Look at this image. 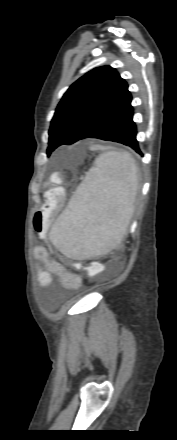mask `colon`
Returning <instances> with one entry per match:
<instances>
[{
    "label": "colon",
    "instance_id": "obj_1",
    "mask_svg": "<svg viewBox=\"0 0 177 440\" xmlns=\"http://www.w3.org/2000/svg\"><path fill=\"white\" fill-rule=\"evenodd\" d=\"M61 175L59 172H54L51 176V182L56 186L50 188L44 196V204L40 210L35 213L34 216V227L37 231L42 230L45 233L50 221L54 214L60 211L64 201V194L62 189L57 186L61 183ZM70 276H77L75 274L69 273Z\"/></svg>",
    "mask_w": 177,
    "mask_h": 440
}]
</instances>
